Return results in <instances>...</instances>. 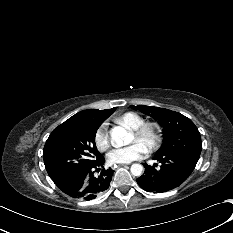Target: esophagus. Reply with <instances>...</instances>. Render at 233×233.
<instances>
[{"label":"esophagus","instance_id":"esophagus-1","mask_svg":"<svg viewBox=\"0 0 233 233\" xmlns=\"http://www.w3.org/2000/svg\"><path fill=\"white\" fill-rule=\"evenodd\" d=\"M126 164H119V166H125Z\"/></svg>","mask_w":233,"mask_h":233}]
</instances>
